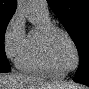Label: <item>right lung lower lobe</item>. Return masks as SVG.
Wrapping results in <instances>:
<instances>
[{
  "label": "right lung lower lobe",
  "instance_id": "98d812e1",
  "mask_svg": "<svg viewBox=\"0 0 89 89\" xmlns=\"http://www.w3.org/2000/svg\"><path fill=\"white\" fill-rule=\"evenodd\" d=\"M3 72H10L11 71V69H5V70H2ZM3 72H1V73H3Z\"/></svg>",
  "mask_w": 89,
  "mask_h": 89
}]
</instances>
